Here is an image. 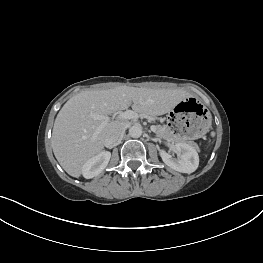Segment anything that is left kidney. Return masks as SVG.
I'll use <instances>...</instances> for the list:
<instances>
[{
    "label": "left kidney",
    "mask_w": 263,
    "mask_h": 263,
    "mask_svg": "<svg viewBox=\"0 0 263 263\" xmlns=\"http://www.w3.org/2000/svg\"><path fill=\"white\" fill-rule=\"evenodd\" d=\"M179 157L174 158L164 150L160 151L163 162L170 168L181 173H193L199 165V156L196 149L189 144L178 142L174 145Z\"/></svg>",
    "instance_id": "left-kidney-1"
}]
</instances>
